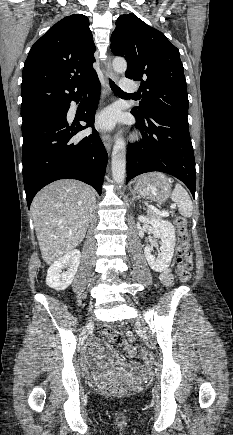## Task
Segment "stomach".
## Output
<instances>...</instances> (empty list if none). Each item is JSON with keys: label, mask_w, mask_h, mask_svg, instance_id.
Returning a JSON list of instances; mask_svg holds the SVG:
<instances>
[{"label": "stomach", "mask_w": 233, "mask_h": 435, "mask_svg": "<svg viewBox=\"0 0 233 435\" xmlns=\"http://www.w3.org/2000/svg\"><path fill=\"white\" fill-rule=\"evenodd\" d=\"M171 190L170 180L162 173L152 172L139 177L134 185V191L149 200L163 203Z\"/></svg>", "instance_id": "1"}]
</instances>
